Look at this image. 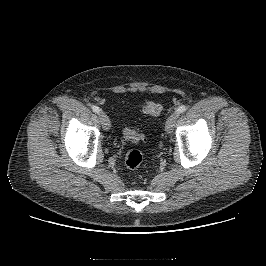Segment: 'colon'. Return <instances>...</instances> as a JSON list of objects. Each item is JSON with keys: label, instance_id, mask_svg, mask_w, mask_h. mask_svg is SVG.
<instances>
[{"label": "colon", "instance_id": "colon-1", "mask_svg": "<svg viewBox=\"0 0 266 266\" xmlns=\"http://www.w3.org/2000/svg\"><path fill=\"white\" fill-rule=\"evenodd\" d=\"M141 110L144 114L148 116H157L161 112V106L159 103L153 100H146L141 105ZM125 138L132 142L146 141L147 135L144 133H139L133 129L125 128L123 131ZM143 161V156L139 150H131L126 155L125 164L127 168L131 170H136L139 168Z\"/></svg>", "mask_w": 266, "mask_h": 266}]
</instances>
